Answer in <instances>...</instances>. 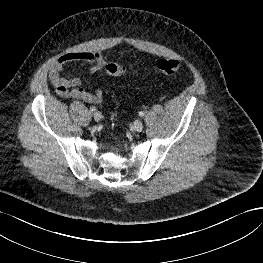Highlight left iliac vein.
Masks as SVG:
<instances>
[{
    "label": "left iliac vein",
    "mask_w": 263,
    "mask_h": 263,
    "mask_svg": "<svg viewBox=\"0 0 263 263\" xmlns=\"http://www.w3.org/2000/svg\"><path fill=\"white\" fill-rule=\"evenodd\" d=\"M142 129H143V123H142V121L136 120V121L134 122V130L137 131V132H141Z\"/></svg>",
    "instance_id": "left-iliac-vein-1"
}]
</instances>
